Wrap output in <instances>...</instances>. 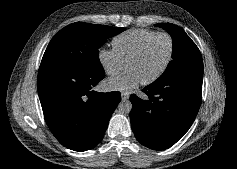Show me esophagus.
<instances>
[{
  "label": "esophagus",
  "instance_id": "obj_1",
  "mask_svg": "<svg viewBox=\"0 0 237 169\" xmlns=\"http://www.w3.org/2000/svg\"><path fill=\"white\" fill-rule=\"evenodd\" d=\"M129 97H130V94H129V93H127V92H122V93H121V99H122V100H128Z\"/></svg>",
  "mask_w": 237,
  "mask_h": 169
}]
</instances>
